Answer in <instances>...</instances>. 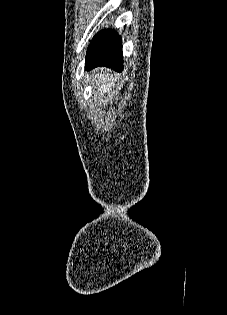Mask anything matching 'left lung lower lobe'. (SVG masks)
Returning a JSON list of instances; mask_svg holds the SVG:
<instances>
[{
    "mask_svg": "<svg viewBox=\"0 0 227 315\" xmlns=\"http://www.w3.org/2000/svg\"><path fill=\"white\" fill-rule=\"evenodd\" d=\"M121 37L112 30L99 32L91 41L86 55L85 69L106 66L117 72L123 69Z\"/></svg>",
    "mask_w": 227,
    "mask_h": 315,
    "instance_id": "obj_1",
    "label": "left lung lower lobe"
}]
</instances>
